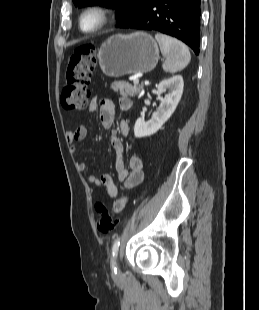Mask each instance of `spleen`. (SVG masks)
<instances>
[{
  "label": "spleen",
  "mask_w": 259,
  "mask_h": 310,
  "mask_svg": "<svg viewBox=\"0 0 259 310\" xmlns=\"http://www.w3.org/2000/svg\"><path fill=\"white\" fill-rule=\"evenodd\" d=\"M155 39L159 43L161 53L165 57V62L162 65L165 72L176 73L189 64L191 55L184 43L161 33H157Z\"/></svg>",
  "instance_id": "1"
}]
</instances>
